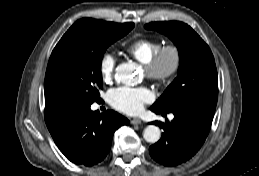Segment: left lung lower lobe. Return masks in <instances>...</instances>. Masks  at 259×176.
Wrapping results in <instances>:
<instances>
[{
    "label": "left lung lower lobe",
    "instance_id": "left-lung-lower-lobe-1",
    "mask_svg": "<svg viewBox=\"0 0 259 176\" xmlns=\"http://www.w3.org/2000/svg\"><path fill=\"white\" fill-rule=\"evenodd\" d=\"M156 114L163 113L151 108ZM174 119L166 123L152 122L164 130L161 139L149 148L151 157L160 164L175 166L189 160L204 143L214 112L187 106L171 111Z\"/></svg>",
    "mask_w": 259,
    "mask_h": 176
}]
</instances>
